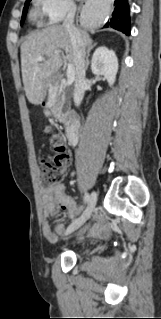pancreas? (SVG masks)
<instances>
[{
	"label": "pancreas",
	"mask_w": 161,
	"mask_h": 319,
	"mask_svg": "<svg viewBox=\"0 0 161 319\" xmlns=\"http://www.w3.org/2000/svg\"><path fill=\"white\" fill-rule=\"evenodd\" d=\"M65 99H64V92H61L60 98L57 100V102L52 107V114L54 115L55 119L58 120L60 123L66 122V115L63 114L62 108L64 105Z\"/></svg>",
	"instance_id": "1"
}]
</instances>
